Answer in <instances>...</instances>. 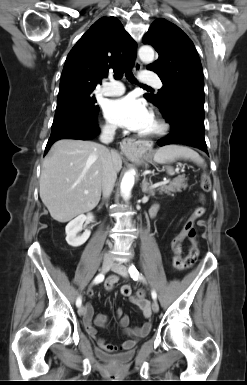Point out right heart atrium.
Wrapping results in <instances>:
<instances>
[{"instance_id":"1","label":"right heart atrium","mask_w":247,"mask_h":385,"mask_svg":"<svg viewBox=\"0 0 247 385\" xmlns=\"http://www.w3.org/2000/svg\"><path fill=\"white\" fill-rule=\"evenodd\" d=\"M102 129L103 131L107 132V133H112L115 131V127L109 123H105L103 126H102Z\"/></svg>"}]
</instances>
